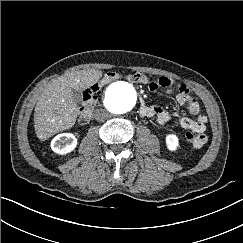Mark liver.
<instances>
[{"instance_id":"obj_1","label":"liver","mask_w":243,"mask_h":243,"mask_svg":"<svg viewBox=\"0 0 243 243\" xmlns=\"http://www.w3.org/2000/svg\"><path fill=\"white\" fill-rule=\"evenodd\" d=\"M101 77L102 71L85 69L60 76L46 85L34 110V128L38 139L47 140L73 127L79 111L73 99V90H84Z\"/></svg>"}]
</instances>
